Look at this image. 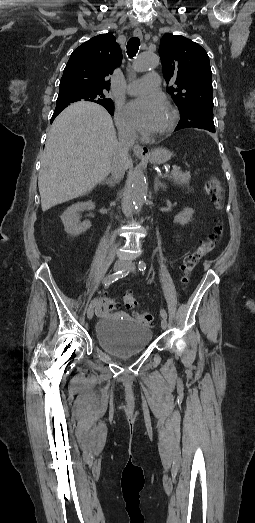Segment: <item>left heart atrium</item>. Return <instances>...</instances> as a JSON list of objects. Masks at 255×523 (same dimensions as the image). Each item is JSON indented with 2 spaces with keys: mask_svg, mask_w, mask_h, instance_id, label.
<instances>
[{
  "mask_svg": "<svg viewBox=\"0 0 255 523\" xmlns=\"http://www.w3.org/2000/svg\"><path fill=\"white\" fill-rule=\"evenodd\" d=\"M163 106L158 97H142L131 101L126 107V114L132 125L141 132L151 130L157 112Z\"/></svg>",
  "mask_w": 255,
  "mask_h": 523,
  "instance_id": "obj_1",
  "label": "left heart atrium"
}]
</instances>
